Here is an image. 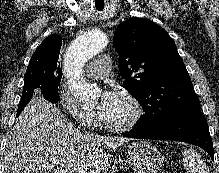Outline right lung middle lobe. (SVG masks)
Wrapping results in <instances>:
<instances>
[{
	"mask_svg": "<svg viewBox=\"0 0 219 173\" xmlns=\"http://www.w3.org/2000/svg\"><path fill=\"white\" fill-rule=\"evenodd\" d=\"M61 77V74L55 68L28 65L24 75L22 95H31L37 92L41 93L45 99L57 103L59 101L58 86Z\"/></svg>",
	"mask_w": 219,
	"mask_h": 173,
	"instance_id": "right-lung-middle-lobe-1",
	"label": "right lung middle lobe"
}]
</instances>
